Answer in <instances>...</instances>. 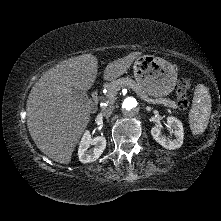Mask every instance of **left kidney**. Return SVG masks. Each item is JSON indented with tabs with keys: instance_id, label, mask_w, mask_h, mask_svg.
<instances>
[{
	"instance_id": "left-kidney-1",
	"label": "left kidney",
	"mask_w": 221,
	"mask_h": 221,
	"mask_svg": "<svg viewBox=\"0 0 221 221\" xmlns=\"http://www.w3.org/2000/svg\"><path fill=\"white\" fill-rule=\"evenodd\" d=\"M167 127L174 133L175 139L169 140L166 136L162 135V126L157 125L151 129V135L154 140L169 150L180 148L184 137L182 122L177 118L170 116L167 118Z\"/></svg>"
}]
</instances>
